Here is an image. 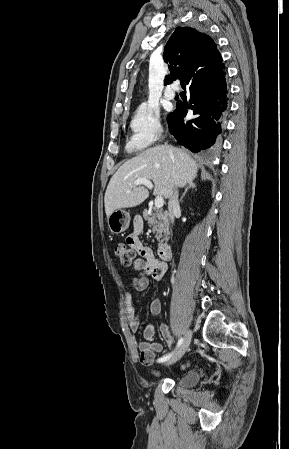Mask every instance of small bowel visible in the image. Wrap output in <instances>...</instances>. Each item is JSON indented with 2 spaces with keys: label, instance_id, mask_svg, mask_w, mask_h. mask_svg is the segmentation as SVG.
<instances>
[{
  "label": "small bowel",
  "instance_id": "c3829d8e",
  "mask_svg": "<svg viewBox=\"0 0 289 449\" xmlns=\"http://www.w3.org/2000/svg\"><path fill=\"white\" fill-rule=\"evenodd\" d=\"M143 230V221L140 218H135L133 221V230L127 236L126 243L133 248L139 255L130 265L135 271L139 273L137 277L130 280L131 287L136 291H144L149 285V279L160 281L167 271V264L159 261L152 249L145 246L141 240L140 235ZM126 314L129 327L132 332H137L140 326L139 317L133 305L132 295L130 291L125 292ZM162 304L159 299H154L150 303V313L157 316L161 313ZM161 336L169 346H173L174 341L170 334L169 328L162 323L159 327ZM143 338L138 345L140 361L144 365H152L155 360L156 353H160L163 349L161 343L155 340V326L148 324L143 330Z\"/></svg>",
  "mask_w": 289,
  "mask_h": 449
}]
</instances>
